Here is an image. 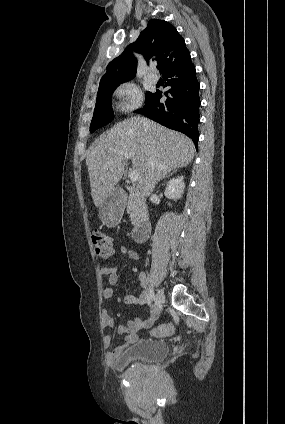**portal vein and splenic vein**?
Instances as JSON below:
<instances>
[{
    "mask_svg": "<svg viewBox=\"0 0 285 424\" xmlns=\"http://www.w3.org/2000/svg\"><path fill=\"white\" fill-rule=\"evenodd\" d=\"M118 154L124 156L127 159H130L131 158L130 154L127 153V152H124V151H121ZM108 163H110V162H108ZM129 178H130V181L132 183H136L138 181V178H139L138 172L136 170H131L129 172Z\"/></svg>",
    "mask_w": 285,
    "mask_h": 424,
    "instance_id": "1",
    "label": "portal vein and splenic vein"
}]
</instances>
